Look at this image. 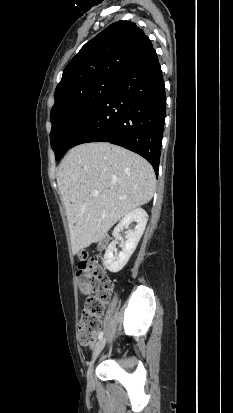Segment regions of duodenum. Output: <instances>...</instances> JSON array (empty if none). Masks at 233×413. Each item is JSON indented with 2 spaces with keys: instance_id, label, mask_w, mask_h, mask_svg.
<instances>
[{
  "instance_id": "obj_1",
  "label": "duodenum",
  "mask_w": 233,
  "mask_h": 413,
  "mask_svg": "<svg viewBox=\"0 0 233 413\" xmlns=\"http://www.w3.org/2000/svg\"><path fill=\"white\" fill-rule=\"evenodd\" d=\"M106 241H107V239H106L105 237H103V238L99 241L98 247H99L100 249H102V248L105 246Z\"/></svg>"
}]
</instances>
